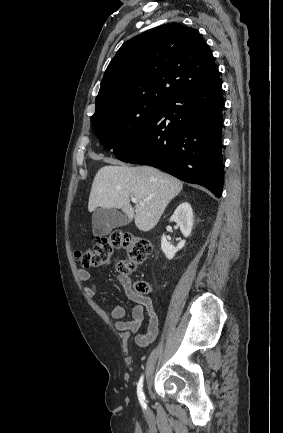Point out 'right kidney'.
<instances>
[{
    "instance_id": "1",
    "label": "right kidney",
    "mask_w": 283,
    "mask_h": 433,
    "mask_svg": "<svg viewBox=\"0 0 283 433\" xmlns=\"http://www.w3.org/2000/svg\"><path fill=\"white\" fill-rule=\"evenodd\" d=\"M170 221L176 222L177 225L180 227L182 234L185 237H188L192 231L193 226V210L191 205L187 202L180 204L174 211L173 215L170 217ZM184 245L185 240L180 241L175 247L167 241L165 235H163L161 238V249L168 259H172L175 256L176 252L182 249Z\"/></svg>"
}]
</instances>
